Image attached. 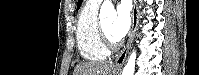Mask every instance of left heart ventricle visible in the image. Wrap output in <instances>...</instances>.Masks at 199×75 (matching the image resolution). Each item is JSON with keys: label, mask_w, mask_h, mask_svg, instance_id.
<instances>
[{"label": "left heart ventricle", "mask_w": 199, "mask_h": 75, "mask_svg": "<svg viewBox=\"0 0 199 75\" xmlns=\"http://www.w3.org/2000/svg\"><path fill=\"white\" fill-rule=\"evenodd\" d=\"M112 20H108V21H104L102 23V26L106 32V34L108 35V37L112 40H114V38L111 36V33H110V28H111V25H112Z\"/></svg>", "instance_id": "obj_1"}]
</instances>
